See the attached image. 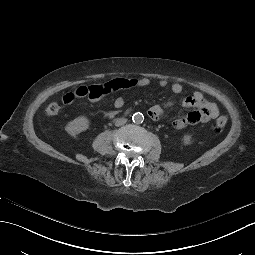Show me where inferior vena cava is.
I'll use <instances>...</instances> for the list:
<instances>
[{
  "instance_id": "602c4592",
  "label": "inferior vena cava",
  "mask_w": 255,
  "mask_h": 255,
  "mask_svg": "<svg viewBox=\"0 0 255 255\" xmlns=\"http://www.w3.org/2000/svg\"><path fill=\"white\" fill-rule=\"evenodd\" d=\"M127 122L126 118H117L115 119V126H123Z\"/></svg>"
}]
</instances>
